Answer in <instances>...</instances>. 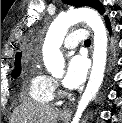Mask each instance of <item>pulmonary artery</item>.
Listing matches in <instances>:
<instances>
[{
	"label": "pulmonary artery",
	"instance_id": "obj_1",
	"mask_svg": "<svg viewBox=\"0 0 122 123\" xmlns=\"http://www.w3.org/2000/svg\"><path fill=\"white\" fill-rule=\"evenodd\" d=\"M87 39V32L84 29H77L67 35L64 40V47L68 49L75 48L80 42Z\"/></svg>",
	"mask_w": 122,
	"mask_h": 123
}]
</instances>
